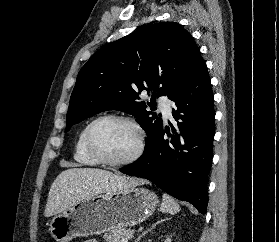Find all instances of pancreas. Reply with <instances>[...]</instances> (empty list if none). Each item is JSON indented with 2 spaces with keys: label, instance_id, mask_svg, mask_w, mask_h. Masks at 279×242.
Listing matches in <instances>:
<instances>
[{
  "label": "pancreas",
  "instance_id": "cf45deb5",
  "mask_svg": "<svg viewBox=\"0 0 279 242\" xmlns=\"http://www.w3.org/2000/svg\"><path fill=\"white\" fill-rule=\"evenodd\" d=\"M134 229L131 228H118L112 229L109 233L104 234L103 238L106 242H121L124 238L133 237Z\"/></svg>",
  "mask_w": 279,
  "mask_h": 242
}]
</instances>
